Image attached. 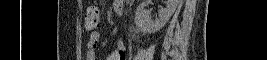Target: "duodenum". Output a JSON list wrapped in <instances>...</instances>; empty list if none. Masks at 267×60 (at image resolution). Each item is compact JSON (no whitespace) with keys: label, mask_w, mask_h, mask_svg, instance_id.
<instances>
[{"label":"duodenum","mask_w":267,"mask_h":60,"mask_svg":"<svg viewBox=\"0 0 267 60\" xmlns=\"http://www.w3.org/2000/svg\"><path fill=\"white\" fill-rule=\"evenodd\" d=\"M116 11H117L118 14H121V13L123 12V9L120 8V7H117V8H116Z\"/></svg>","instance_id":"1"}]
</instances>
